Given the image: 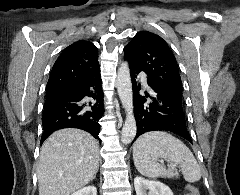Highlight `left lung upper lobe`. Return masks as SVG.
I'll return each mask as SVG.
<instances>
[{
  "label": "left lung upper lobe",
  "mask_w": 240,
  "mask_h": 195,
  "mask_svg": "<svg viewBox=\"0 0 240 195\" xmlns=\"http://www.w3.org/2000/svg\"><path fill=\"white\" fill-rule=\"evenodd\" d=\"M124 58L147 79L182 98V82L176 58L167 43L158 35L138 32L124 48Z\"/></svg>",
  "instance_id": "obj_1"
}]
</instances>
